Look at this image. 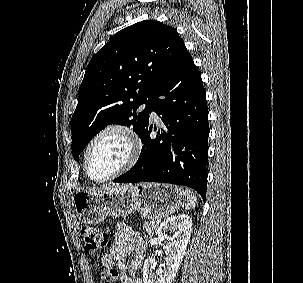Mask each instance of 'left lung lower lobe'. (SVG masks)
Returning <instances> with one entry per match:
<instances>
[{"instance_id":"0a47b994","label":"left lung lower lobe","mask_w":303,"mask_h":283,"mask_svg":"<svg viewBox=\"0 0 303 283\" xmlns=\"http://www.w3.org/2000/svg\"><path fill=\"white\" fill-rule=\"evenodd\" d=\"M165 125L151 139L146 125L135 166L114 182H163L184 185L206 198L208 108L201 74L186 47L161 81L149 103ZM156 130V129H155Z\"/></svg>"}]
</instances>
